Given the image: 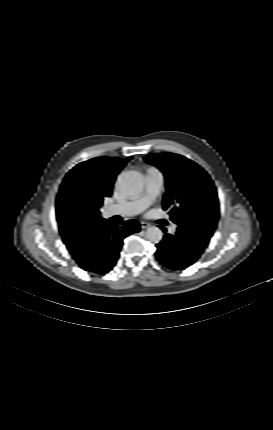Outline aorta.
I'll return each instance as SVG.
<instances>
[{"mask_svg": "<svg viewBox=\"0 0 273 430\" xmlns=\"http://www.w3.org/2000/svg\"><path fill=\"white\" fill-rule=\"evenodd\" d=\"M119 189L129 196H135L142 192L144 187L143 175L135 170L122 172L117 180ZM163 233L160 228L151 226L146 231V238L149 242L159 243Z\"/></svg>", "mask_w": 273, "mask_h": 430, "instance_id": "762f6f07", "label": "aorta"}]
</instances>
